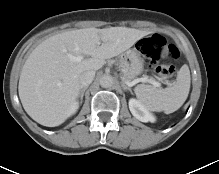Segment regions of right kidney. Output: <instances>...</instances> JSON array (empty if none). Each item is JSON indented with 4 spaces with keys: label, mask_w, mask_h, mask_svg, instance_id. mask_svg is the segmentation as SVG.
<instances>
[{
    "label": "right kidney",
    "mask_w": 219,
    "mask_h": 174,
    "mask_svg": "<svg viewBox=\"0 0 219 174\" xmlns=\"http://www.w3.org/2000/svg\"><path fill=\"white\" fill-rule=\"evenodd\" d=\"M78 107H79L78 103L77 102L74 103V105L70 109L69 116L74 114L77 111Z\"/></svg>",
    "instance_id": "1"
}]
</instances>
